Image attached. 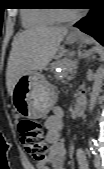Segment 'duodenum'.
Listing matches in <instances>:
<instances>
[{
    "label": "duodenum",
    "mask_w": 104,
    "mask_h": 169,
    "mask_svg": "<svg viewBox=\"0 0 104 169\" xmlns=\"http://www.w3.org/2000/svg\"><path fill=\"white\" fill-rule=\"evenodd\" d=\"M87 100L84 97H79L75 103V113L77 116L83 115L86 110Z\"/></svg>",
    "instance_id": "410a0bca"
}]
</instances>
